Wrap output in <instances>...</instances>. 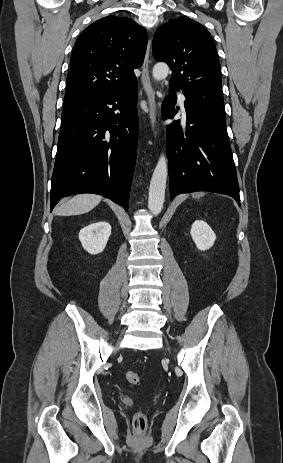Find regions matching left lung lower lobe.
Segmentation results:
<instances>
[{
	"mask_svg": "<svg viewBox=\"0 0 283 463\" xmlns=\"http://www.w3.org/2000/svg\"><path fill=\"white\" fill-rule=\"evenodd\" d=\"M175 104L176 95L171 92L162 104L163 119L176 115ZM184 104L188 113L185 136L179 120L167 127L171 200L180 193L210 191L229 195L240 205L226 120L197 109L187 100Z\"/></svg>",
	"mask_w": 283,
	"mask_h": 463,
	"instance_id": "1",
	"label": "left lung lower lobe"
}]
</instances>
